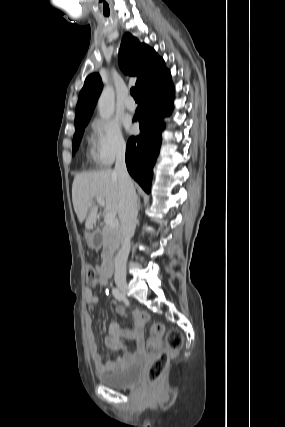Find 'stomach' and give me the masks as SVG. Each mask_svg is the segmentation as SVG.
Listing matches in <instances>:
<instances>
[{"label": "stomach", "mask_w": 285, "mask_h": 427, "mask_svg": "<svg viewBox=\"0 0 285 427\" xmlns=\"http://www.w3.org/2000/svg\"><path fill=\"white\" fill-rule=\"evenodd\" d=\"M85 237L90 247L97 248L98 246H100L101 240L97 231H94L92 233H86Z\"/></svg>", "instance_id": "stomach-1"}]
</instances>
